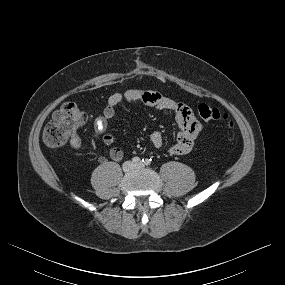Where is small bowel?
<instances>
[{"mask_svg": "<svg viewBox=\"0 0 285 285\" xmlns=\"http://www.w3.org/2000/svg\"><path fill=\"white\" fill-rule=\"evenodd\" d=\"M136 101L159 110L173 112L180 131L177 134L175 142L170 146L169 152L173 155H182L191 150L195 139L202 130V125L195 118L192 110L185 104L164 97L157 92L143 89H128L112 94L104 106L102 115L97 117L94 122L93 138L96 141H101L106 146L113 145L116 141L115 135L105 133V131L115 115L116 107L122 102ZM150 140L157 148H161L164 145V136L160 131H154L150 136ZM69 143L73 150H79L82 147V140L78 133L71 136ZM110 157L113 161H120L123 158L122 149L112 147L110 149Z\"/></svg>", "mask_w": 285, "mask_h": 285, "instance_id": "obj_1", "label": "small bowel"}]
</instances>
